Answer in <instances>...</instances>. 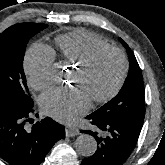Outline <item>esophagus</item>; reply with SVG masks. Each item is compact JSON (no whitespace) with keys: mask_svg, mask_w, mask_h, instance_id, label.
<instances>
[{"mask_svg":"<svg viewBox=\"0 0 165 165\" xmlns=\"http://www.w3.org/2000/svg\"><path fill=\"white\" fill-rule=\"evenodd\" d=\"M66 136L73 137L79 134V130L76 127L73 126H66Z\"/></svg>","mask_w":165,"mask_h":165,"instance_id":"1","label":"esophagus"}]
</instances>
